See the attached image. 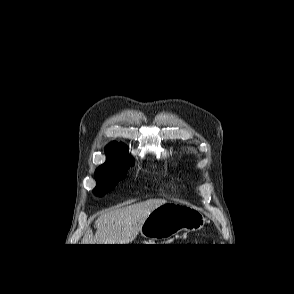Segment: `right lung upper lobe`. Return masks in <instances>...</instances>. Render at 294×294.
<instances>
[{"instance_id": "1", "label": "right lung upper lobe", "mask_w": 294, "mask_h": 294, "mask_svg": "<svg viewBox=\"0 0 294 294\" xmlns=\"http://www.w3.org/2000/svg\"><path fill=\"white\" fill-rule=\"evenodd\" d=\"M106 161H132V157L128 154V148L118 142H112L110 143L106 148Z\"/></svg>"}]
</instances>
